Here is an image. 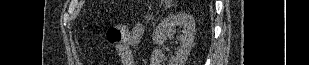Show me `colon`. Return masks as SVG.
I'll return each mask as SVG.
<instances>
[{
    "instance_id": "colon-1",
    "label": "colon",
    "mask_w": 309,
    "mask_h": 65,
    "mask_svg": "<svg viewBox=\"0 0 309 65\" xmlns=\"http://www.w3.org/2000/svg\"><path fill=\"white\" fill-rule=\"evenodd\" d=\"M127 33V27L122 23H115L109 26L105 32L104 37L109 43L121 42Z\"/></svg>"
}]
</instances>
